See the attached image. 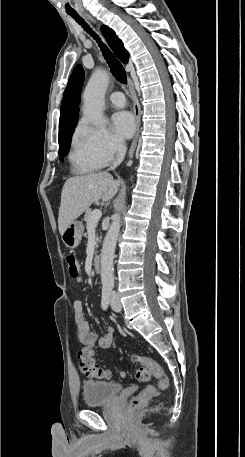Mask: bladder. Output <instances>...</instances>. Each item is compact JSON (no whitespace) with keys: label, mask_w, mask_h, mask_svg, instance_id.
I'll return each mask as SVG.
<instances>
[{"label":"bladder","mask_w":245,"mask_h":457,"mask_svg":"<svg viewBox=\"0 0 245 457\" xmlns=\"http://www.w3.org/2000/svg\"><path fill=\"white\" fill-rule=\"evenodd\" d=\"M85 406L110 402L113 395H118L121 385L115 382L88 381L83 384Z\"/></svg>","instance_id":"bladder-1"}]
</instances>
